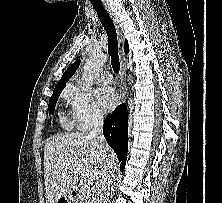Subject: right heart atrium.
I'll return each instance as SVG.
<instances>
[{"mask_svg": "<svg viewBox=\"0 0 222 203\" xmlns=\"http://www.w3.org/2000/svg\"><path fill=\"white\" fill-rule=\"evenodd\" d=\"M65 97L70 104L74 123L79 129L87 130L103 119V113L89 92L73 86L66 91Z\"/></svg>", "mask_w": 222, "mask_h": 203, "instance_id": "d8ad5b80", "label": "right heart atrium"}]
</instances>
